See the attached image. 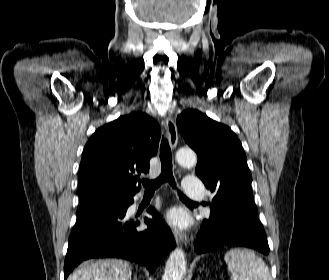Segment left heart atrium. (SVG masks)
<instances>
[{
    "instance_id": "39dd6f15",
    "label": "left heart atrium",
    "mask_w": 329,
    "mask_h": 280,
    "mask_svg": "<svg viewBox=\"0 0 329 280\" xmlns=\"http://www.w3.org/2000/svg\"><path fill=\"white\" fill-rule=\"evenodd\" d=\"M168 221L178 227H184L187 223V217L185 213L180 209H172L167 215Z\"/></svg>"
}]
</instances>
